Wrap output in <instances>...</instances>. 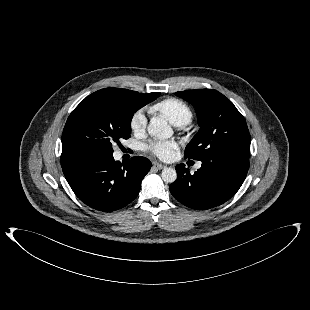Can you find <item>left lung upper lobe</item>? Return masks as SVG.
I'll return each mask as SVG.
<instances>
[{"label": "left lung upper lobe", "mask_w": 310, "mask_h": 310, "mask_svg": "<svg viewBox=\"0 0 310 310\" xmlns=\"http://www.w3.org/2000/svg\"><path fill=\"white\" fill-rule=\"evenodd\" d=\"M175 94L195 107L200 127L185 148V158L200 161L219 157L249 159L251 138L246 121L227 97L212 89Z\"/></svg>", "instance_id": "1"}]
</instances>
